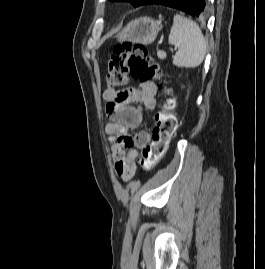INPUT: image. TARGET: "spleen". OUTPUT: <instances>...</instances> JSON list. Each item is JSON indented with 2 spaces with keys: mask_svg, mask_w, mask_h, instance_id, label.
Here are the masks:
<instances>
[{
  "mask_svg": "<svg viewBox=\"0 0 265 269\" xmlns=\"http://www.w3.org/2000/svg\"><path fill=\"white\" fill-rule=\"evenodd\" d=\"M168 41L178 47L173 58L175 66L195 68L203 62L207 41L194 21L179 14L174 15Z\"/></svg>",
  "mask_w": 265,
  "mask_h": 269,
  "instance_id": "1",
  "label": "spleen"
}]
</instances>
